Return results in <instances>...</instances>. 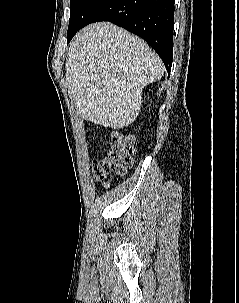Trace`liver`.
I'll return each mask as SVG.
<instances>
[{
    "label": "liver",
    "instance_id": "1",
    "mask_svg": "<svg viewBox=\"0 0 239 303\" xmlns=\"http://www.w3.org/2000/svg\"><path fill=\"white\" fill-rule=\"evenodd\" d=\"M65 70L80 116L121 129L136 119L143 88L161 79L164 66L145 41L112 23L99 22L75 35Z\"/></svg>",
    "mask_w": 239,
    "mask_h": 303
}]
</instances>
